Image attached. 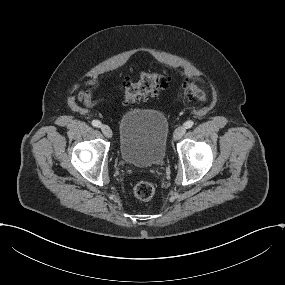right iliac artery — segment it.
Returning <instances> with one entry per match:
<instances>
[{
	"mask_svg": "<svg viewBox=\"0 0 285 285\" xmlns=\"http://www.w3.org/2000/svg\"><path fill=\"white\" fill-rule=\"evenodd\" d=\"M92 125L94 126V127H101V122L100 121H98V120H93L92 121Z\"/></svg>",
	"mask_w": 285,
	"mask_h": 285,
	"instance_id": "right-iliac-artery-1",
	"label": "right iliac artery"
}]
</instances>
